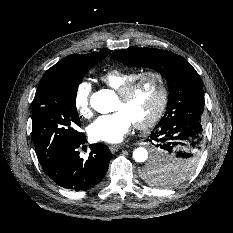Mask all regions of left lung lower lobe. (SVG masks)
I'll list each match as a JSON object with an SVG mask.
<instances>
[{
  "mask_svg": "<svg viewBox=\"0 0 233 233\" xmlns=\"http://www.w3.org/2000/svg\"><path fill=\"white\" fill-rule=\"evenodd\" d=\"M149 137L150 142L157 147L150 163L162 165L175 157L200 156L202 151V126L194 116L177 117L158 123Z\"/></svg>",
  "mask_w": 233,
  "mask_h": 233,
  "instance_id": "1",
  "label": "left lung lower lobe"
}]
</instances>
